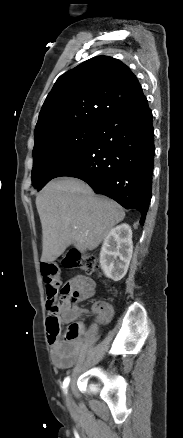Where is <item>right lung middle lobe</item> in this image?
Segmentation results:
<instances>
[{
    "label": "right lung middle lobe",
    "instance_id": "1",
    "mask_svg": "<svg viewBox=\"0 0 183 438\" xmlns=\"http://www.w3.org/2000/svg\"><path fill=\"white\" fill-rule=\"evenodd\" d=\"M96 126L81 125L48 132L35 139L32 185L41 190L90 143Z\"/></svg>",
    "mask_w": 183,
    "mask_h": 438
}]
</instances>
